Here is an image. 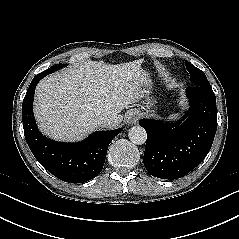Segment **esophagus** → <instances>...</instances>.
Listing matches in <instances>:
<instances>
[{
    "label": "esophagus",
    "instance_id": "34e87169",
    "mask_svg": "<svg viewBox=\"0 0 239 239\" xmlns=\"http://www.w3.org/2000/svg\"><path fill=\"white\" fill-rule=\"evenodd\" d=\"M138 118H139V113L137 111H130L127 115H126V118H125V121L127 124H134L138 121Z\"/></svg>",
    "mask_w": 239,
    "mask_h": 239
}]
</instances>
